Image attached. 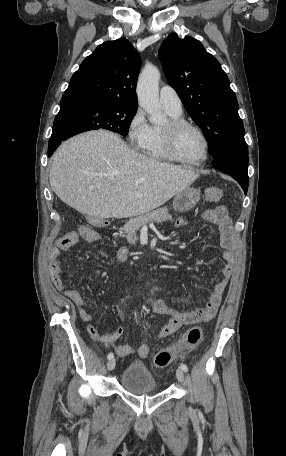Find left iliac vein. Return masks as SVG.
I'll return each instance as SVG.
<instances>
[{"mask_svg":"<svg viewBox=\"0 0 286 456\" xmlns=\"http://www.w3.org/2000/svg\"><path fill=\"white\" fill-rule=\"evenodd\" d=\"M176 377L179 382L183 383L185 380L184 372L182 369H177L176 370Z\"/></svg>","mask_w":286,"mask_h":456,"instance_id":"left-iliac-vein-1","label":"left iliac vein"}]
</instances>
